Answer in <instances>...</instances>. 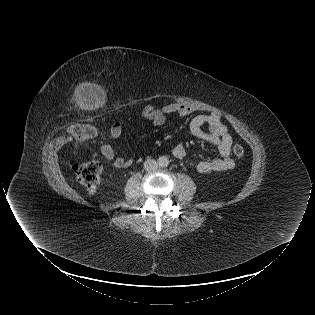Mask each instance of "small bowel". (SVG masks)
Wrapping results in <instances>:
<instances>
[{
	"mask_svg": "<svg viewBox=\"0 0 315 315\" xmlns=\"http://www.w3.org/2000/svg\"><path fill=\"white\" fill-rule=\"evenodd\" d=\"M193 112V109L184 103H171L157 108L153 105H147L142 110V120L153 125L162 126L167 119L168 114H178L187 116ZM204 126L208 130H204ZM189 129L193 136L203 141L215 145L219 151L220 158L214 160H203L196 164V169L200 173H210L231 170L235 162L231 157L232 138L227 126L223 123L220 114L213 112L210 114L195 115L189 123ZM123 134V127L120 123H114L110 128V135L113 139H119ZM101 154L111 161L116 168H126L132 164V160L117 156L114 148L108 142L102 144ZM173 156L178 160H187L188 155L183 145H177L172 151Z\"/></svg>",
	"mask_w": 315,
	"mask_h": 315,
	"instance_id": "1",
	"label": "small bowel"
}]
</instances>
